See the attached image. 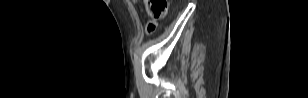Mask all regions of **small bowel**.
Instances as JSON below:
<instances>
[{
  "instance_id": "small-bowel-1",
  "label": "small bowel",
  "mask_w": 308,
  "mask_h": 98,
  "mask_svg": "<svg viewBox=\"0 0 308 98\" xmlns=\"http://www.w3.org/2000/svg\"><path fill=\"white\" fill-rule=\"evenodd\" d=\"M133 2H134L135 5L139 6V1L134 0ZM153 30H154V29H153ZM153 30H148V32H152Z\"/></svg>"
}]
</instances>
